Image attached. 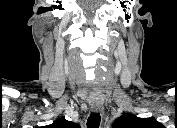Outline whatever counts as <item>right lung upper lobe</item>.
Returning a JSON list of instances; mask_svg holds the SVG:
<instances>
[{"label":"right lung upper lobe","mask_w":177,"mask_h":128,"mask_svg":"<svg viewBox=\"0 0 177 128\" xmlns=\"http://www.w3.org/2000/svg\"><path fill=\"white\" fill-rule=\"evenodd\" d=\"M50 126L51 128H78L79 127L78 124L73 123L72 121H68L64 118L55 121Z\"/></svg>","instance_id":"obj_1"}]
</instances>
